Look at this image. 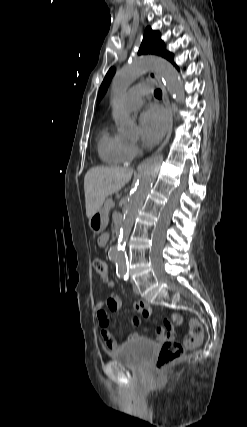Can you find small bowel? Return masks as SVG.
Wrapping results in <instances>:
<instances>
[{"label":"small bowel","instance_id":"1","mask_svg":"<svg viewBox=\"0 0 247 427\" xmlns=\"http://www.w3.org/2000/svg\"><path fill=\"white\" fill-rule=\"evenodd\" d=\"M109 235L103 234L98 239V244L100 246H105L108 242ZM109 288H114L115 283L113 281H109L107 283ZM135 310L140 313L144 318H148L152 309L148 302L140 300L134 304ZM122 309V302L119 296L116 294H110L107 298L100 301L97 305V318L101 327V334L104 339L106 347L111 351H116L128 343L135 341L139 338L138 333L131 332L127 335L125 342L122 344H117L114 339L112 333L109 330L110 324V312H118ZM183 322V317L178 312H173L171 314V320L164 319L162 325L157 326L154 330L155 340L158 342L171 341L175 338V330L174 325H180ZM131 324L135 327L140 325V318L134 317L131 320Z\"/></svg>","mask_w":247,"mask_h":427}]
</instances>
